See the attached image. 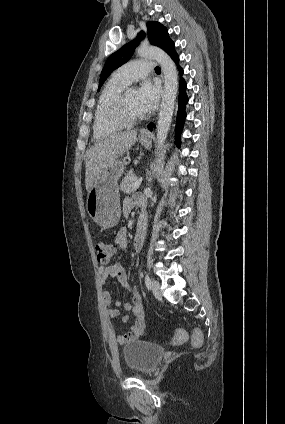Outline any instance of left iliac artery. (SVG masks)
Returning <instances> with one entry per match:
<instances>
[{
    "instance_id": "1",
    "label": "left iliac artery",
    "mask_w": 285,
    "mask_h": 424,
    "mask_svg": "<svg viewBox=\"0 0 285 424\" xmlns=\"http://www.w3.org/2000/svg\"><path fill=\"white\" fill-rule=\"evenodd\" d=\"M145 284H146L148 289L151 288V280H150L148 275L145 276Z\"/></svg>"
}]
</instances>
